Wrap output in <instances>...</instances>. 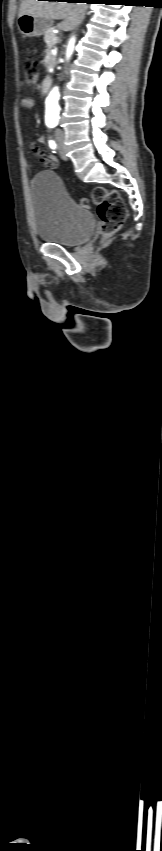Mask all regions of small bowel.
Here are the masks:
<instances>
[{"label":"small bowel","mask_w":162,"mask_h":851,"mask_svg":"<svg viewBox=\"0 0 162 851\" xmlns=\"http://www.w3.org/2000/svg\"><path fill=\"white\" fill-rule=\"evenodd\" d=\"M34 105L35 102L31 98H25L21 101V107L25 110L32 109ZM45 142V137L40 136L37 142H34L30 145V149L44 166L50 169H54L58 165V160L54 155H46L44 149L41 146L42 144H45Z\"/></svg>","instance_id":"small-bowel-1"}]
</instances>
